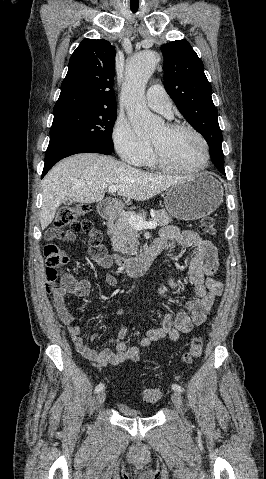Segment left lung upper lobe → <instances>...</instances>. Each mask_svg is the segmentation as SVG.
Listing matches in <instances>:
<instances>
[{"label": "left lung upper lobe", "instance_id": "1", "mask_svg": "<svg viewBox=\"0 0 266 479\" xmlns=\"http://www.w3.org/2000/svg\"><path fill=\"white\" fill-rule=\"evenodd\" d=\"M164 56V86L180 113L207 141L216 168L224 171L222 133L212 101V87L203 62L186 40L161 46Z\"/></svg>", "mask_w": 266, "mask_h": 479}]
</instances>
